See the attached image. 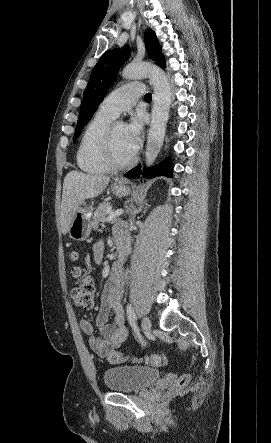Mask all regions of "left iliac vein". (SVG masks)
Listing matches in <instances>:
<instances>
[{
	"mask_svg": "<svg viewBox=\"0 0 271 443\" xmlns=\"http://www.w3.org/2000/svg\"><path fill=\"white\" fill-rule=\"evenodd\" d=\"M141 325H142V330L145 333H149L151 331L152 324H151V321H150V319L148 317H144L142 319V324Z\"/></svg>",
	"mask_w": 271,
	"mask_h": 443,
	"instance_id": "left-iliac-vein-1",
	"label": "left iliac vein"
}]
</instances>
